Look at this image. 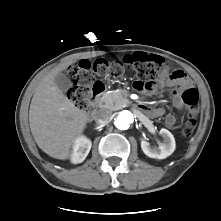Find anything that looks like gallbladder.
Instances as JSON below:
<instances>
[{"instance_id":"obj_1","label":"gallbladder","mask_w":221,"mask_h":221,"mask_svg":"<svg viewBox=\"0 0 221 221\" xmlns=\"http://www.w3.org/2000/svg\"><path fill=\"white\" fill-rule=\"evenodd\" d=\"M55 84L62 91H67L71 86L70 80L63 73H59L55 76Z\"/></svg>"}]
</instances>
